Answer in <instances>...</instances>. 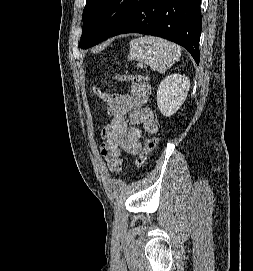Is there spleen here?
<instances>
[{
  "label": "spleen",
  "mask_w": 253,
  "mask_h": 271,
  "mask_svg": "<svg viewBox=\"0 0 253 271\" xmlns=\"http://www.w3.org/2000/svg\"><path fill=\"white\" fill-rule=\"evenodd\" d=\"M180 57V47L162 38L144 36L130 42L128 60L143 62L159 73L166 72Z\"/></svg>",
  "instance_id": "3e777b00"
}]
</instances>
